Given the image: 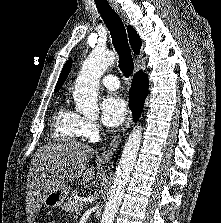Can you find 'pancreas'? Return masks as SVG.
Listing matches in <instances>:
<instances>
[{
    "instance_id": "cf45deb5",
    "label": "pancreas",
    "mask_w": 221,
    "mask_h": 223,
    "mask_svg": "<svg viewBox=\"0 0 221 223\" xmlns=\"http://www.w3.org/2000/svg\"><path fill=\"white\" fill-rule=\"evenodd\" d=\"M74 195L75 193H72L63 205V210L72 214L77 213L81 209V204L78 200L74 199Z\"/></svg>"
}]
</instances>
